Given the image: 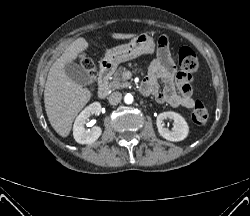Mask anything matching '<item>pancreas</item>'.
<instances>
[{
	"instance_id": "cf45deb5",
	"label": "pancreas",
	"mask_w": 250,
	"mask_h": 216,
	"mask_svg": "<svg viewBox=\"0 0 250 216\" xmlns=\"http://www.w3.org/2000/svg\"><path fill=\"white\" fill-rule=\"evenodd\" d=\"M125 70V67H119L118 70L114 72L113 76L108 79L109 88L120 89L130 85V83L123 77Z\"/></svg>"
}]
</instances>
